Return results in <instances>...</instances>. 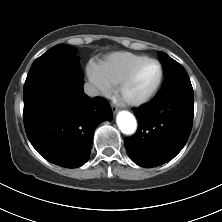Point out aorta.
<instances>
[{
  "instance_id": "aorta-1",
  "label": "aorta",
  "mask_w": 222,
  "mask_h": 222,
  "mask_svg": "<svg viewBox=\"0 0 222 222\" xmlns=\"http://www.w3.org/2000/svg\"><path fill=\"white\" fill-rule=\"evenodd\" d=\"M116 123L123 134L131 135L136 132L137 121L128 111H120L117 114Z\"/></svg>"
}]
</instances>
